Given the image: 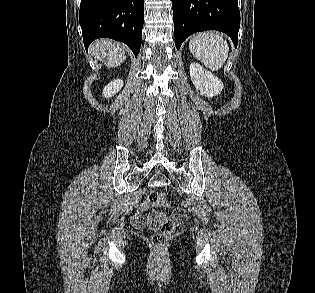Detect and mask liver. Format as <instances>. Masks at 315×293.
I'll return each mask as SVG.
<instances>
[{"label": "liver", "instance_id": "1", "mask_svg": "<svg viewBox=\"0 0 315 293\" xmlns=\"http://www.w3.org/2000/svg\"><path fill=\"white\" fill-rule=\"evenodd\" d=\"M92 55L99 60L107 59V67H118L126 59L123 48L116 42L100 39L91 44Z\"/></svg>", "mask_w": 315, "mask_h": 293}]
</instances>
